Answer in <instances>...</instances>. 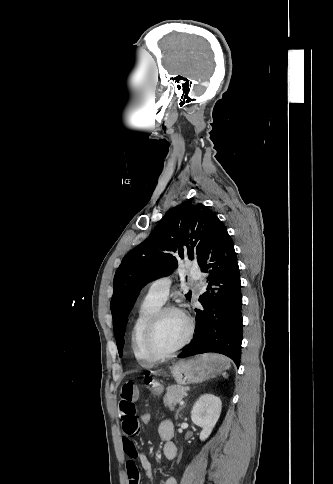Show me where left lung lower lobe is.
<instances>
[{"mask_svg":"<svg viewBox=\"0 0 333 484\" xmlns=\"http://www.w3.org/2000/svg\"><path fill=\"white\" fill-rule=\"evenodd\" d=\"M198 264L208 273L207 291L199 298L203 309H195V336L178 357L217 352L230 357L239 367L242 342L239 268L233 241L217 217L210 224Z\"/></svg>","mask_w":333,"mask_h":484,"instance_id":"left-lung-lower-lobe-1","label":"left lung lower lobe"}]
</instances>
